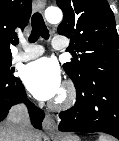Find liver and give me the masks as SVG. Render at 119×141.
I'll use <instances>...</instances> for the list:
<instances>
[{
    "instance_id": "liver-1",
    "label": "liver",
    "mask_w": 119,
    "mask_h": 141,
    "mask_svg": "<svg viewBox=\"0 0 119 141\" xmlns=\"http://www.w3.org/2000/svg\"><path fill=\"white\" fill-rule=\"evenodd\" d=\"M17 134L13 125L8 121H3L0 123V141H18ZM28 141H36L38 139V134L36 131L31 130L29 132Z\"/></svg>"
}]
</instances>
